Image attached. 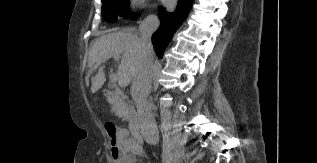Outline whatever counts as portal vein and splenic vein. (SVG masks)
Instances as JSON below:
<instances>
[{
    "label": "portal vein and splenic vein",
    "mask_w": 317,
    "mask_h": 163,
    "mask_svg": "<svg viewBox=\"0 0 317 163\" xmlns=\"http://www.w3.org/2000/svg\"><path fill=\"white\" fill-rule=\"evenodd\" d=\"M114 59H115L116 61L119 60L118 57H114ZM110 81H111V83H116V82L118 81V74L112 73V74L110 75Z\"/></svg>",
    "instance_id": "1"
}]
</instances>
